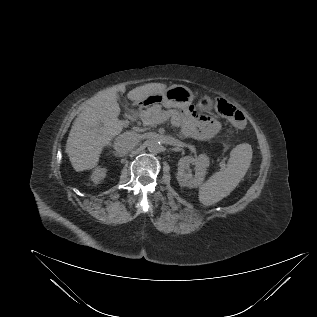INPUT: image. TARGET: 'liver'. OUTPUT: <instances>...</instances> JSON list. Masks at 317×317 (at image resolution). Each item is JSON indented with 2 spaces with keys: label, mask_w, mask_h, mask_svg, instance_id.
<instances>
[{
  "label": "liver",
  "mask_w": 317,
  "mask_h": 317,
  "mask_svg": "<svg viewBox=\"0 0 317 317\" xmlns=\"http://www.w3.org/2000/svg\"><path fill=\"white\" fill-rule=\"evenodd\" d=\"M166 89L165 84H145L131 90L128 99L142 102L148 96L162 93ZM118 92L124 93L125 86L117 85L100 91L89 100L74 120L65 152L77 172L94 168L98 164L103 148L126 126L127 122L118 119L120 114Z\"/></svg>",
  "instance_id": "liver-1"
}]
</instances>
